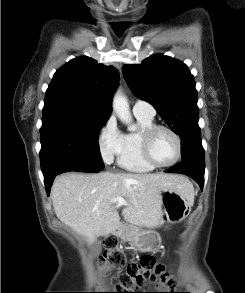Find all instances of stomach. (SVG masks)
<instances>
[{"label":"stomach","mask_w":245,"mask_h":293,"mask_svg":"<svg viewBox=\"0 0 245 293\" xmlns=\"http://www.w3.org/2000/svg\"><path fill=\"white\" fill-rule=\"evenodd\" d=\"M193 201L173 188L161 191L162 223H177L185 219ZM118 235V232H114ZM131 245L141 252L155 251L160 243V235L154 230L134 231L128 237Z\"/></svg>","instance_id":"0dacf381"}]
</instances>
